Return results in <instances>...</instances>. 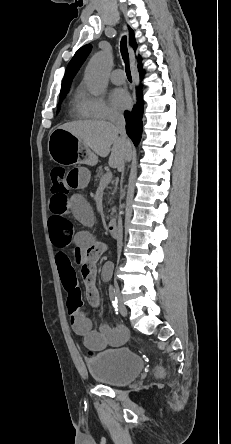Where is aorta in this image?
Segmentation results:
<instances>
[{"mask_svg": "<svg viewBox=\"0 0 231 444\" xmlns=\"http://www.w3.org/2000/svg\"><path fill=\"white\" fill-rule=\"evenodd\" d=\"M112 57L107 52L95 55L88 64L85 80L87 87L95 95L101 94L107 86V72L111 66Z\"/></svg>", "mask_w": 231, "mask_h": 444, "instance_id": "762f6f07", "label": "aorta"}]
</instances>
